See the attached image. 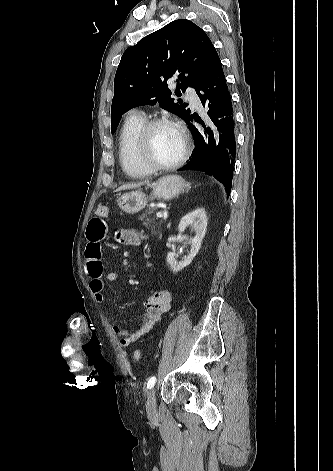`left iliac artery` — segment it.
Returning <instances> with one entry per match:
<instances>
[{"label":"left iliac artery","mask_w":333,"mask_h":471,"mask_svg":"<svg viewBox=\"0 0 333 471\" xmlns=\"http://www.w3.org/2000/svg\"><path fill=\"white\" fill-rule=\"evenodd\" d=\"M155 382H156L155 376H152L151 378H149L147 382V389H151L154 386Z\"/></svg>","instance_id":"obj_1"}]
</instances>
